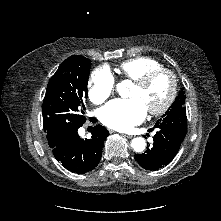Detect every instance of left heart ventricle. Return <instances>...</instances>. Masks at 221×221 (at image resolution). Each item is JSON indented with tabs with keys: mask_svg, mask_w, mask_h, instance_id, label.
<instances>
[{
	"mask_svg": "<svg viewBox=\"0 0 221 221\" xmlns=\"http://www.w3.org/2000/svg\"><path fill=\"white\" fill-rule=\"evenodd\" d=\"M169 91L170 79L166 74H161L144 88L134 85L131 97L141 99L147 109L157 108L166 100Z\"/></svg>",
	"mask_w": 221,
	"mask_h": 221,
	"instance_id": "obj_1",
	"label": "left heart ventricle"
}]
</instances>
